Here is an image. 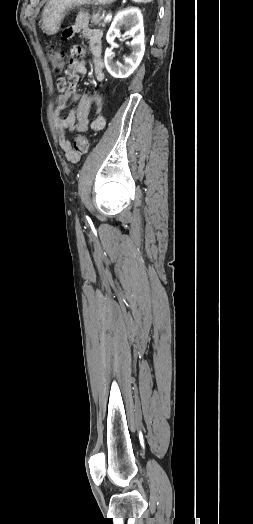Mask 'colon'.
Wrapping results in <instances>:
<instances>
[{
    "mask_svg": "<svg viewBox=\"0 0 253 524\" xmlns=\"http://www.w3.org/2000/svg\"><path fill=\"white\" fill-rule=\"evenodd\" d=\"M48 58L50 60L52 69L55 72L62 71L66 63V54L55 45L50 44L47 48ZM89 150V139L87 136L82 134H77L73 137L71 151L68 155V158L72 161H76Z\"/></svg>",
    "mask_w": 253,
    "mask_h": 524,
    "instance_id": "colon-1",
    "label": "colon"
}]
</instances>
